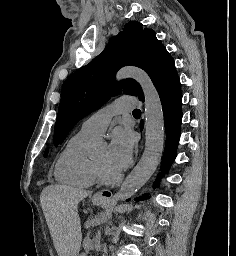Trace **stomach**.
I'll return each mask as SVG.
<instances>
[{"mask_svg": "<svg viewBox=\"0 0 236 256\" xmlns=\"http://www.w3.org/2000/svg\"><path fill=\"white\" fill-rule=\"evenodd\" d=\"M93 203L96 205H101V204H103V201H93ZM77 256H85V254H79Z\"/></svg>", "mask_w": 236, "mask_h": 256, "instance_id": "obj_1", "label": "stomach"}]
</instances>
